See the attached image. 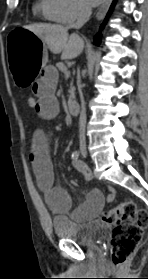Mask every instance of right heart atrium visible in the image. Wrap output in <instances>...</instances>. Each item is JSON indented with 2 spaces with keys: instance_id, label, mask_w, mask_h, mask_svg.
<instances>
[{
  "instance_id": "right-heart-atrium-1",
  "label": "right heart atrium",
  "mask_w": 148,
  "mask_h": 279,
  "mask_svg": "<svg viewBox=\"0 0 148 279\" xmlns=\"http://www.w3.org/2000/svg\"><path fill=\"white\" fill-rule=\"evenodd\" d=\"M51 7L58 22L64 24L74 23L88 12L79 0H51Z\"/></svg>"
}]
</instances>
